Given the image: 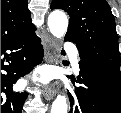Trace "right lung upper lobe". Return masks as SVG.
<instances>
[{"instance_id": "cb5924a9", "label": "right lung upper lobe", "mask_w": 121, "mask_h": 113, "mask_svg": "<svg viewBox=\"0 0 121 113\" xmlns=\"http://www.w3.org/2000/svg\"><path fill=\"white\" fill-rule=\"evenodd\" d=\"M27 0H1V45L34 31Z\"/></svg>"}]
</instances>
